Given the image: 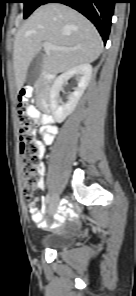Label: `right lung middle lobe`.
<instances>
[{
  "label": "right lung middle lobe",
  "mask_w": 136,
  "mask_h": 296,
  "mask_svg": "<svg viewBox=\"0 0 136 296\" xmlns=\"http://www.w3.org/2000/svg\"><path fill=\"white\" fill-rule=\"evenodd\" d=\"M17 2L24 3V18H27L36 8H38L44 0H19Z\"/></svg>",
  "instance_id": "1"
}]
</instances>
